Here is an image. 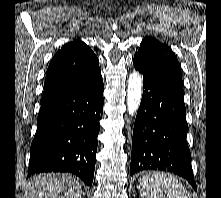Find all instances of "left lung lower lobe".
Listing matches in <instances>:
<instances>
[{
	"mask_svg": "<svg viewBox=\"0 0 221 198\" xmlns=\"http://www.w3.org/2000/svg\"><path fill=\"white\" fill-rule=\"evenodd\" d=\"M134 67L144 79L143 96L133 129L130 174L143 170L171 171L196 190L184 94L134 56Z\"/></svg>",
	"mask_w": 221,
	"mask_h": 198,
	"instance_id": "obj_1",
	"label": "left lung lower lobe"
}]
</instances>
